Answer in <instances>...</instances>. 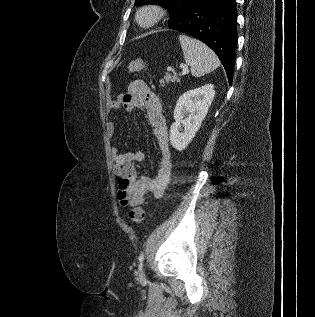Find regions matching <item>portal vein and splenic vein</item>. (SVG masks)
<instances>
[{
  "label": "portal vein and splenic vein",
  "instance_id": "18ae733b",
  "mask_svg": "<svg viewBox=\"0 0 315 317\" xmlns=\"http://www.w3.org/2000/svg\"><path fill=\"white\" fill-rule=\"evenodd\" d=\"M168 70H171V68H168ZM188 73H189L188 68H184L183 71H182V75H185V74H188Z\"/></svg>",
  "mask_w": 315,
  "mask_h": 317
}]
</instances>
